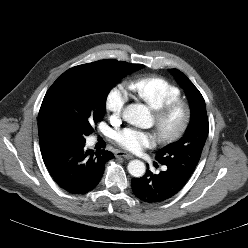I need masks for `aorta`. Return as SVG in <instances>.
<instances>
[{
  "instance_id": "aorta-1",
  "label": "aorta",
  "mask_w": 248,
  "mask_h": 248,
  "mask_svg": "<svg viewBox=\"0 0 248 248\" xmlns=\"http://www.w3.org/2000/svg\"><path fill=\"white\" fill-rule=\"evenodd\" d=\"M123 118L126 122L146 128L151 124V118L148 108L142 104H130L123 111ZM128 172L136 178L145 174V164L140 160H132L127 166Z\"/></svg>"
}]
</instances>
